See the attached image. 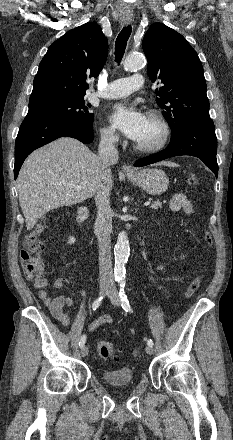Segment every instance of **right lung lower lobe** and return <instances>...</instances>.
Returning a JSON list of instances; mask_svg holds the SVG:
<instances>
[{
  "label": "right lung lower lobe",
  "instance_id": "98d812e1",
  "mask_svg": "<svg viewBox=\"0 0 233 440\" xmlns=\"http://www.w3.org/2000/svg\"><path fill=\"white\" fill-rule=\"evenodd\" d=\"M63 136L76 138L84 144L91 143L94 138L92 130L75 121L51 115L27 114L15 143V179L25 158L32 151Z\"/></svg>",
  "mask_w": 233,
  "mask_h": 440
}]
</instances>
